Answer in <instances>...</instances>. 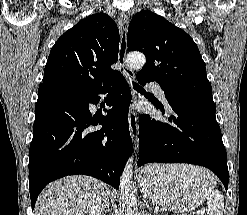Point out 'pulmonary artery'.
Instances as JSON below:
<instances>
[{
  "instance_id": "obj_1",
  "label": "pulmonary artery",
  "mask_w": 247,
  "mask_h": 215,
  "mask_svg": "<svg viewBox=\"0 0 247 215\" xmlns=\"http://www.w3.org/2000/svg\"><path fill=\"white\" fill-rule=\"evenodd\" d=\"M148 86L162 101H165L164 91L158 83L151 81Z\"/></svg>"
}]
</instances>
